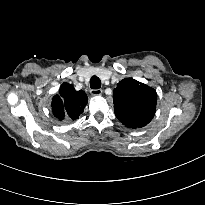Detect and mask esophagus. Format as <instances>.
Segmentation results:
<instances>
[{"label":"esophagus","instance_id":"esophagus-1","mask_svg":"<svg viewBox=\"0 0 205 205\" xmlns=\"http://www.w3.org/2000/svg\"><path fill=\"white\" fill-rule=\"evenodd\" d=\"M90 93H91V95H93V96H99V95L102 94V90H101V89H92V90L90 91Z\"/></svg>","mask_w":205,"mask_h":205}]
</instances>
